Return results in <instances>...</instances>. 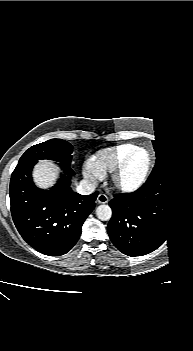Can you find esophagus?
<instances>
[{
    "label": "esophagus",
    "mask_w": 193,
    "mask_h": 351,
    "mask_svg": "<svg viewBox=\"0 0 193 351\" xmlns=\"http://www.w3.org/2000/svg\"><path fill=\"white\" fill-rule=\"evenodd\" d=\"M108 200H109V197H108L107 194H105V193H100V194L98 195V201H99L100 203H107Z\"/></svg>",
    "instance_id": "34e87169"
}]
</instances>
